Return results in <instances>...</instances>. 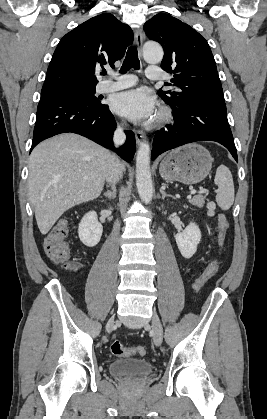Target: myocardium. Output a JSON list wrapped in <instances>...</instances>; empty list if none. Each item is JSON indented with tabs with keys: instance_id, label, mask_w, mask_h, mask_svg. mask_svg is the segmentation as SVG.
Listing matches in <instances>:
<instances>
[{
	"instance_id": "f54148a6",
	"label": "myocardium",
	"mask_w": 267,
	"mask_h": 419,
	"mask_svg": "<svg viewBox=\"0 0 267 419\" xmlns=\"http://www.w3.org/2000/svg\"><path fill=\"white\" fill-rule=\"evenodd\" d=\"M171 120H172L171 110L166 106L161 107L156 116L155 123L157 125H165V124L170 123Z\"/></svg>"
}]
</instances>
